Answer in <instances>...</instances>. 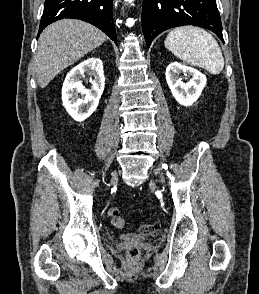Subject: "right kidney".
<instances>
[{
  "label": "right kidney",
  "mask_w": 259,
  "mask_h": 294,
  "mask_svg": "<svg viewBox=\"0 0 259 294\" xmlns=\"http://www.w3.org/2000/svg\"><path fill=\"white\" fill-rule=\"evenodd\" d=\"M85 73L94 77L90 79L91 89L82 84L81 78ZM104 86L103 62L99 58H88L67 74L62 87L63 106L74 120L82 122L96 110Z\"/></svg>",
  "instance_id": "ca27d5eb"
}]
</instances>
